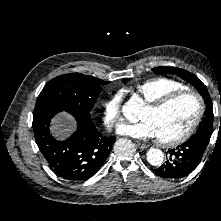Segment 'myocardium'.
Listing matches in <instances>:
<instances>
[{"label":"myocardium","instance_id":"obj_1","mask_svg":"<svg viewBox=\"0 0 221 221\" xmlns=\"http://www.w3.org/2000/svg\"><path fill=\"white\" fill-rule=\"evenodd\" d=\"M182 96H192L195 98L197 105H198L197 114H196L194 120L192 121V123L189 125V127L180 135H178L174 138H171V139H167V140H162V139L158 138V142L162 145L176 146V145H179V144L185 142L186 140H188L192 136V134L196 131V129L198 128V126L201 123L202 118L204 116V113H205L204 100L198 92L191 90V89H183V90L170 92V93L165 94L164 96L158 98L157 100H155L153 102L146 103V107L148 109H150L152 111H159V110H162L163 108H165L167 105H169L174 100H176Z\"/></svg>","mask_w":221,"mask_h":221}]
</instances>
